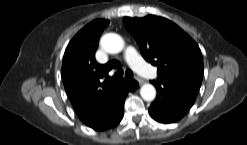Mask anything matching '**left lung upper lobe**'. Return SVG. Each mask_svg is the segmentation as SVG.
I'll return each mask as SVG.
<instances>
[{
  "label": "left lung upper lobe",
  "mask_w": 247,
  "mask_h": 145,
  "mask_svg": "<svg viewBox=\"0 0 247 145\" xmlns=\"http://www.w3.org/2000/svg\"><path fill=\"white\" fill-rule=\"evenodd\" d=\"M123 23L136 39L143 57L158 67V79L198 93L203 59L199 46L187 33L172 21L154 15L125 17Z\"/></svg>",
  "instance_id": "obj_1"
}]
</instances>
